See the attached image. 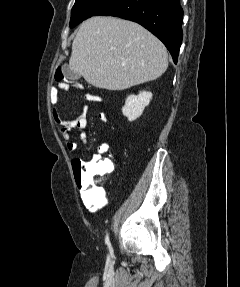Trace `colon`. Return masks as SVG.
I'll return each instance as SVG.
<instances>
[{"mask_svg": "<svg viewBox=\"0 0 240 287\" xmlns=\"http://www.w3.org/2000/svg\"><path fill=\"white\" fill-rule=\"evenodd\" d=\"M55 85H53L49 92V102L52 108L53 116L60 110L61 94L67 90L70 84L66 81L63 69L57 68L55 72ZM73 171L77 178V184L82 194L87 195L90 190L94 189V182L97 177L104 175L112 170V162L110 160L101 161H74Z\"/></svg>", "mask_w": 240, "mask_h": 287, "instance_id": "obj_1", "label": "colon"}]
</instances>
